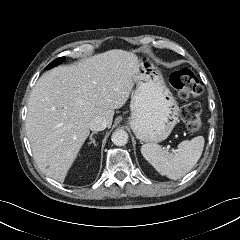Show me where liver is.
<instances>
[{
  "mask_svg": "<svg viewBox=\"0 0 240 240\" xmlns=\"http://www.w3.org/2000/svg\"><path fill=\"white\" fill-rule=\"evenodd\" d=\"M138 78V57L121 49L44 73L31 92L26 118L40 170L64 182L89 136L90 121L101 116L110 127L114 110L126 103Z\"/></svg>",
  "mask_w": 240,
  "mask_h": 240,
  "instance_id": "6515ba94",
  "label": "liver"
}]
</instances>
